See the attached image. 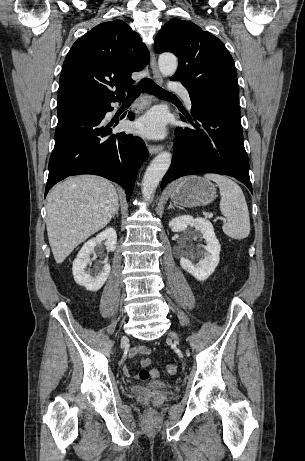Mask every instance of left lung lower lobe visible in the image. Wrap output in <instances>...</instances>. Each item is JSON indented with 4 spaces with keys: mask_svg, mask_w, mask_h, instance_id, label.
Wrapping results in <instances>:
<instances>
[{
    "mask_svg": "<svg viewBox=\"0 0 305 461\" xmlns=\"http://www.w3.org/2000/svg\"><path fill=\"white\" fill-rule=\"evenodd\" d=\"M191 114L181 115L194 128H177L171 166L161 188L181 176L218 173L232 176L252 192L248 156L244 148L238 94L189 93Z\"/></svg>",
    "mask_w": 305,
    "mask_h": 461,
    "instance_id": "left-lung-lower-lobe-1",
    "label": "left lung lower lobe"
}]
</instances>
